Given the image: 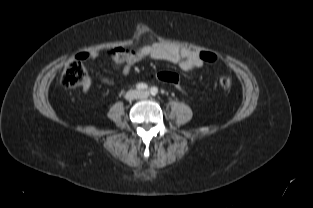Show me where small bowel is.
Instances as JSON below:
<instances>
[{"mask_svg":"<svg viewBox=\"0 0 313 208\" xmlns=\"http://www.w3.org/2000/svg\"><path fill=\"white\" fill-rule=\"evenodd\" d=\"M112 63L115 66L123 67V74L127 75L136 63L151 58L153 60L165 61L175 65L183 71H190L201 68L204 64L198 52L190 49H180L162 43L145 45L135 50H127L122 47L113 48L109 52ZM99 56L97 51L85 52L79 55L80 59H96ZM90 88L87 81L83 87L84 91Z\"/></svg>","mask_w":313,"mask_h":208,"instance_id":"1","label":"small bowel"}]
</instances>
